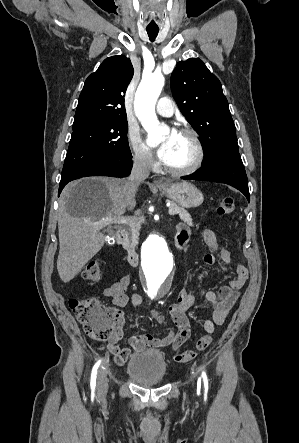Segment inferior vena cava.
<instances>
[{"label":"inferior vena cava","instance_id":"obj_1","mask_svg":"<svg viewBox=\"0 0 299 443\" xmlns=\"http://www.w3.org/2000/svg\"><path fill=\"white\" fill-rule=\"evenodd\" d=\"M152 159L145 153L137 154L134 157L131 174L124 185V192L127 197L133 199L140 183L144 181L150 173Z\"/></svg>","mask_w":299,"mask_h":443}]
</instances>
